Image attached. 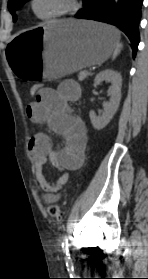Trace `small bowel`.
Listing matches in <instances>:
<instances>
[{"instance_id":"obj_1","label":"small bowel","mask_w":148,"mask_h":279,"mask_svg":"<svg viewBox=\"0 0 148 279\" xmlns=\"http://www.w3.org/2000/svg\"><path fill=\"white\" fill-rule=\"evenodd\" d=\"M79 96V85L75 81L66 80L57 89L43 88L26 109L27 116L33 123L47 125L54 133L66 139V145L58 151L52 148L51 139L45 133L35 134L29 142L36 179L47 201L55 199L66 184L67 171L79 169L84 161L87 142L85 125L70 108V103ZM47 162L63 171L56 181H50L43 172Z\"/></svg>"}]
</instances>
